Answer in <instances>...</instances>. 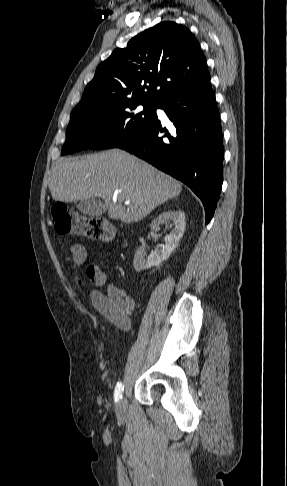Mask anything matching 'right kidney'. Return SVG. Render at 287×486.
I'll use <instances>...</instances> for the list:
<instances>
[{
    "label": "right kidney",
    "mask_w": 287,
    "mask_h": 486,
    "mask_svg": "<svg viewBox=\"0 0 287 486\" xmlns=\"http://www.w3.org/2000/svg\"><path fill=\"white\" fill-rule=\"evenodd\" d=\"M174 226L169 235L164 237L165 244L157 247L147 258H145L144 247H139L135 253L133 265L137 272L160 265L166 260L176 248L185 230V215L180 210H168L158 215L151 223V230L157 232L163 224Z\"/></svg>",
    "instance_id": "1"
}]
</instances>
